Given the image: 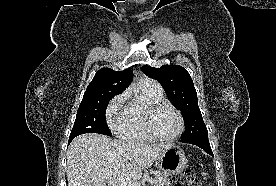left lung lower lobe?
I'll return each mask as SVG.
<instances>
[{
	"label": "left lung lower lobe",
	"instance_id": "obj_1",
	"mask_svg": "<svg viewBox=\"0 0 276 186\" xmlns=\"http://www.w3.org/2000/svg\"><path fill=\"white\" fill-rule=\"evenodd\" d=\"M183 143H189L196 145L200 148H202L205 152L213 156L209 141H208V136H201V137H196V138H191V139H185L181 140Z\"/></svg>",
	"mask_w": 276,
	"mask_h": 186
}]
</instances>
